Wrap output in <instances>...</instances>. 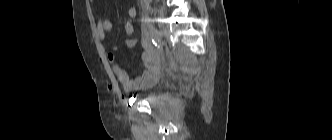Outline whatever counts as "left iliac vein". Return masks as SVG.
<instances>
[{
    "mask_svg": "<svg viewBox=\"0 0 332 140\" xmlns=\"http://www.w3.org/2000/svg\"><path fill=\"white\" fill-rule=\"evenodd\" d=\"M162 37H163L162 31L159 30V29H155V33H154V38H155V40H156L158 43H161V42H162Z\"/></svg>",
    "mask_w": 332,
    "mask_h": 140,
    "instance_id": "obj_1",
    "label": "left iliac vein"
}]
</instances>
